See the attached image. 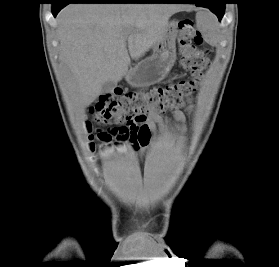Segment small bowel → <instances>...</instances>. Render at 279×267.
<instances>
[{
	"label": "small bowel",
	"mask_w": 279,
	"mask_h": 267,
	"mask_svg": "<svg viewBox=\"0 0 279 267\" xmlns=\"http://www.w3.org/2000/svg\"><path fill=\"white\" fill-rule=\"evenodd\" d=\"M172 116L175 120H177L180 123H183L185 121L186 115L182 111H174L172 113ZM168 121V118L162 114L158 113H149L145 115L142 119L137 120L132 128V132L134 136L130 137L128 140L130 142V145L133 149L139 151L141 155H144L145 148L150 144L151 142V136L156 130L164 128L166 122ZM144 129L147 132V137L144 142H141L138 140V134L140 131Z\"/></svg>",
	"instance_id": "1"
}]
</instances>
